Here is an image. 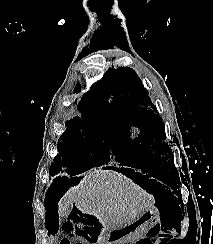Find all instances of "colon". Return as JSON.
I'll return each mask as SVG.
<instances>
[{"mask_svg": "<svg viewBox=\"0 0 213 244\" xmlns=\"http://www.w3.org/2000/svg\"><path fill=\"white\" fill-rule=\"evenodd\" d=\"M59 244H84V243H82V242H74V243H72L70 240H68V239H62L60 242H59Z\"/></svg>", "mask_w": 213, "mask_h": 244, "instance_id": "5ec220e1", "label": "colon"}]
</instances>
